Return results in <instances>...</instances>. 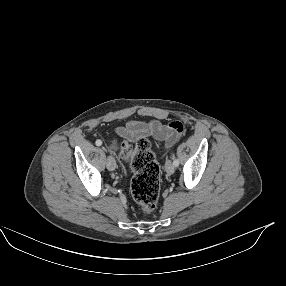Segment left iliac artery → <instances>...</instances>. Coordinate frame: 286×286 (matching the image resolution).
Wrapping results in <instances>:
<instances>
[{
	"label": "left iliac artery",
	"mask_w": 286,
	"mask_h": 286,
	"mask_svg": "<svg viewBox=\"0 0 286 286\" xmlns=\"http://www.w3.org/2000/svg\"><path fill=\"white\" fill-rule=\"evenodd\" d=\"M173 165H174L175 167H177V166L179 165L178 159H174V160H173Z\"/></svg>",
	"instance_id": "obj_1"
}]
</instances>
